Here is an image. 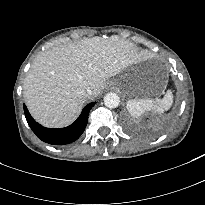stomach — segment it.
Masks as SVG:
<instances>
[{"label": "stomach", "mask_w": 205, "mask_h": 205, "mask_svg": "<svg viewBox=\"0 0 205 205\" xmlns=\"http://www.w3.org/2000/svg\"><path fill=\"white\" fill-rule=\"evenodd\" d=\"M143 72L141 66L132 65L126 68L113 84L126 98L157 99L164 92L167 80H147Z\"/></svg>", "instance_id": "0dacf381"}]
</instances>
